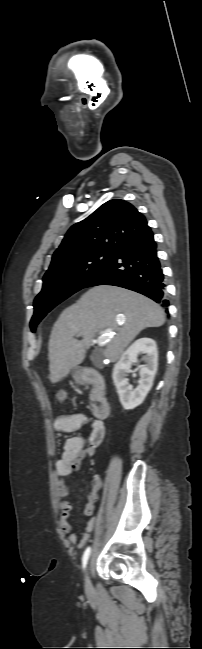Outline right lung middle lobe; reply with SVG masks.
Here are the masks:
<instances>
[{"instance_id":"1","label":"right lung middle lobe","mask_w":202,"mask_h":649,"mask_svg":"<svg viewBox=\"0 0 202 649\" xmlns=\"http://www.w3.org/2000/svg\"><path fill=\"white\" fill-rule=\"evenodd\" d=\"M114 252L91 251L62 262L43 277V288L34 300L31 331L60 302L79 291L113 257Z\"/></svg>"}]
</instances>
